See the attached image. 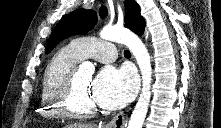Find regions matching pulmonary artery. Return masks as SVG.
<instances>
[{"label":"pulmonary artery","instance_id":"obj_1","mask_svg":"<svg viewBox=\"0 0 221 128\" xmlns=\"http://www.w3.org/2000/svg\"><path fill=\"white\" fill-rule=\"evenodd\" d=\"M70 45L81 54L82 58H93L103 63L113 62L118 56L114 42L101 41L93 36L75 38Z\"/></svg>","mask_w":221,"mask_h":128}]
</instances>
